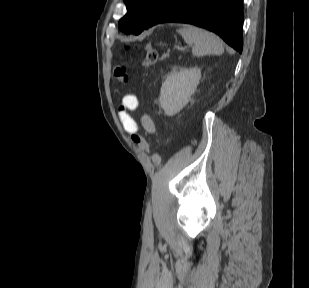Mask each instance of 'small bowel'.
I'll return each mask as SVG.
<instances>
[{
  "label": "small bowel",
  "mask_w": 309,
  "mask_h": 288,
  "mask_svg": "<svg viewBox=\"0 0 309 288\" xmlns=\"http://www.w3.org/2000/svg\"><path fill=\"white\" fill-rule=\"evenodd\" d=\"M138 106V99L135 95H126L122 100V108L119 111L120 119L123 123L125 131L133 135L138 132V123L129 115L130 111L136 110ZM141 124L144 129L150 133L155 132V125L150 117L144 116L141 120Z\"/></svg>",
  "instance_id": "1"
}]
</instances>
